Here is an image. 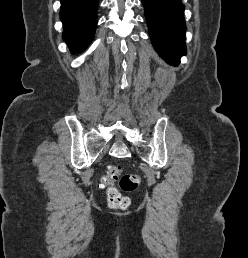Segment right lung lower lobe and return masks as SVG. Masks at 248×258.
<instances>
[{"label":"right lung lower lobe","mask_w":248,"mask_h":258,"mask_svg":"<svg viewBox=\"0 0 248 258\" xmlns=\"http://www.w3.org/2000/svg\"><path fill=\"white\" fill-rule=\"evenodd\" d=\"M99 0H61L63 37L73 52L83 50L92 40L97 24Z\"/></svg>","instance_id":"obj_1"}]
</instances>
